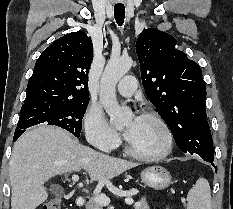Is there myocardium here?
<instances>
[{
  "label": "myocardium",
  "instance_id": "obj_1",
  "mask_svg": "<svg viewBox=\"0 0 233 209\" xmlns=\"http://www.w3.org/2000/svg\"><path fill=\"white\" fill-rule=\"evenodd\" d=\"M141 117H146L154 120L155 122L158 123V125L162 128L165 136V145L164 148L156 153V154H142L137 151H135L129 144V142L126 140L125 142V152L131 156L132 158L144 162H154V161H159L164 158H166L172 151L173 149V134L172 131L167 124V122L156 112L154 111H145L141 114Z\"/></svg>",
  "mask_w": 233,
  "mask_h": 209
}]
</instances>
